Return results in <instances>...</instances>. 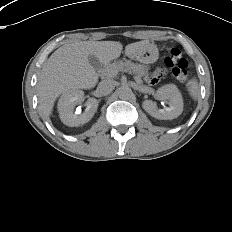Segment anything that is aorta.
Masks as SVG:
<instances>
[{"label":"aorta","instance_id":"obj_1","mask_svg":"<svg viewBox=\"0 0 232 232\" xmlns=\"http://www.w3.org/2000/svg\"><path fill=\"white\" fill-rule=\"evenodd\" d=\"M118 95L121 99L127 100L132 97L133 92L129 86L125 85L119 88Z\"/></svg>","mask_w":232,"mask_h":232}]
</instances>
